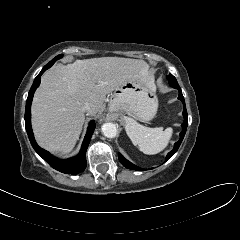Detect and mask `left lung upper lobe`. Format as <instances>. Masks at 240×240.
<instances>
[{
  "label": "left lung upper lobe",
  "mask_w": 240,
  "mask_h": 240,
  "mask_svg": "<svg viewBox=\"0 0 240 240\" xmlns=\"http://www.w3.org/2000/svg\"><path fill=\"white\" fill-rule=\"evenodd\" d=\"M168 76L174 77L172 74H169Z\"/></svg>",
  "instance_id": "5c2ea615"
}]
</instances>
